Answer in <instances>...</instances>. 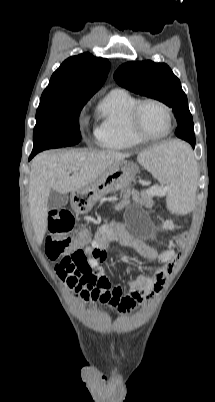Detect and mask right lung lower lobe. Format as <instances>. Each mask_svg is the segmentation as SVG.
I'll return each mask as SVG.
<instances>
[{
    "label": "right lung lower lobe",
    "mask_w": 215,
    "mask_h": 402,
    "mask_svg": "<svg viewBox=\"0 0 215 402\" xmlns=\"http://www.w3.org/2000/svg\"><path fill=\"white\" fill-rule=\"evenodd\" d=\"M32 157H33V156L30 155V158H29V159H31Z\"/></svg>",
    "instance_id": "right-lung-lower-lobe-1"
}]
</instances>
